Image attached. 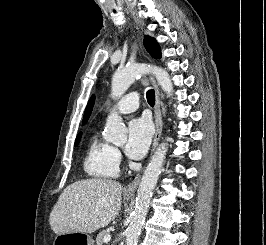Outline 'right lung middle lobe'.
I'll return each mask as SVG.
<instances>
[{
  "instance_id": "1",
  "label": "right lung middle lobe",
  "mask_w": 266,
  "mask_h": 245,
  "mask_svg": "<svg viewBox=\"0 0 266 245\" xmlns=\"http://www.w3.org/2000/svg\"><path fill=\"white\" fill-rule=\"evenodd\" d=\"M81 136H82V132H80L75 140V146H77L80 142V139H81Z\"/></svg>"
}]
</instances>
